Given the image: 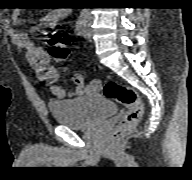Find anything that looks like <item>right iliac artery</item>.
Wrapping results in <instances>:
<instances>
[{
  "label": "right iliac artery",
  "instance_id": "1",
  "mask_svg": "<svg viewBox=\"0 0 192 180\" xmlns=\"http://www.w3.org/2000/svg\"><path fill=\"white\" fill-rule=\"evenodd\" d=\"M87 22V14L85 12H82L76 22V29L75 32L77 35H82L84 31V27Z\"/></svg>",
  "mask_w": 192,
  "mask_h": 180
}]
</instances>
